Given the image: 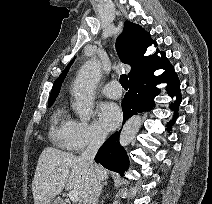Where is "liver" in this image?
Wrapping results in <instances>:
<instances>
[{"label": "liver", "mask_w": 212, "mask_h": 204, "mask_svg": "<svg viewBox=\"0 0 212 204\" xmlns=\"http://www.w3.org/2000/svg\"><path fill=\"white\" fill-rule=\"evenodd\" d=\"M95 167L99 180L105 181L108 171L100 165ZM87 173L88 168L80 157L54 147H46L39 156L32 181L34 204H47L64 188L78 191L83 198Z\"/></svg>", "instance_id": "6515ba94"}]
</instances>
